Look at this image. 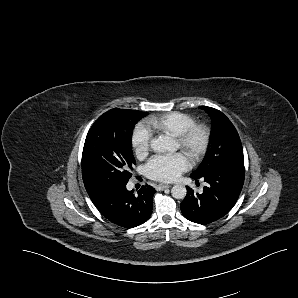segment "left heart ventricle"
<instances>
[{
  "instance_id": "1",
  "label": "left heart ventricle",
  "mask_w": 298,
  "mask_h": 298,
  "mask_svg": "<svg viewBox=\"0 0 298 298\" xmlns=\"http://www.w3.org/2000/svg\"><path fill=\"white\" fill-rule=\"evenodd\" d=\"M195 145V140L192 138L185 142L181 147H178V145L175 142L169 141V140H163L162 142V148L166 150H180L181 154L184 158H186L191 151L193 150Z\"/></svg>"
}]
</instances>
